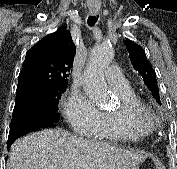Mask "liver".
<instances>
[{
  "instance_id": "6515ba94",
  "label": "liver",
  "mask_w": 177,
  "mask_h": 169,
  "mask_svg": "<svg viewBox=\"0 0 177 169\" xmlns=\"http://www.w3.org/2000/svg\"><path fill=\"white\" fill-rule=\"evenodd\" d=\"M143 159L114 145L45 129L13 143L7 169H134Z\"/></svg>"
}]
</instances>
